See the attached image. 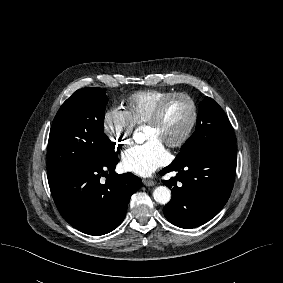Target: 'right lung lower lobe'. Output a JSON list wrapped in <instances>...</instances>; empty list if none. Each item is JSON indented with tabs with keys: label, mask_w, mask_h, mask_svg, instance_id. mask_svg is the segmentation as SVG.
<instances>
[{
	"label": "right lung lower lobe",
	"mask_w": 283,
	"mask_h": 283,
	"mask_svg": "<svg viewBox=\"0 0 283 283\" xmlns=\"http://www.w3.org/2000/svg\"><path fill=\"white\" fill-rule=\"evenodd\" d=\"M114 151L101 162L48 180L55 204L63 218L89 235H104L123 221L130 197L142 181L132 173L119 175ZM101 177H106L103 183Z\"/></svg>",
	"instance_id": "1"
}]
</instances>
